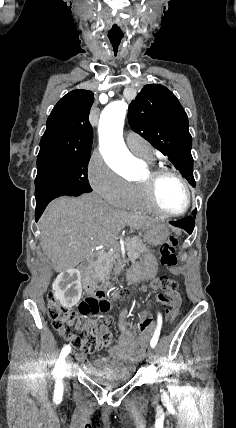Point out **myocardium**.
Returning <instances> with one entry per match:
<instances>
[{
    "label": "myocardium",
    "instance_id": "1",
    "mask_svg": "<svg viewBox=\"0 0 236 428\" xmlns=\"http://www.w3.org/2000/svg\"><path fill=\"white\" fill-rule=\"evenodd\" d=\"M173 177L181 182L186 192V203L181 210L171 211L166 209L158 194L160 181L165 177ZM142 185L145 197L149 204L161 215L172 217L180 216L186 213L192 204V190L189 181L178 171L165 166L152 169L147 172L146 176L139 182Z\"/></svg>",
    "mask_w": 236,
    "mask_h": 428
}]
</instances>
